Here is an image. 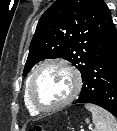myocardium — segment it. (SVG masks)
Wrapping results in <instances>:
<instances>
[{
  "label": "myocardium",
  "instance_id": "obj_1",
  "mask_svg": "<svg viewBox=\"0 0 117 131\" xmlns=\"http://www.w3.org/2000/svg\"><path fill=\"white\" fill-rule=\"evenodd\" d=\"M48 66H61L64 69H66L72 76L73 79V87L71 90V93L68 95L66 99H64L62 102L58 103L57 105L51 106V107H44L42 106L34 97L33 94V83L34 80L39 73L40 70H42L45 67ZM82 87V78L79 70L74 67L72 64L68 63L65 60L60 59H53V60H47L42 63H40L31 73L28 83H27V93L28 98L32 104V106L38 111L42 113H50L55 112L57 110H60L70 104L79 94Z\"/></svg>",
  "mask_w": 117,
  "mask_h": 131
}]
</instances>
